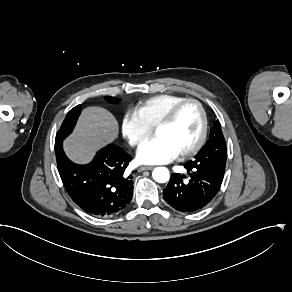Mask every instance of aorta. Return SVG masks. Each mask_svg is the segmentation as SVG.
Masks as SVG:
<instances>
[{"label": "aorta", "mask_w": 292, "mask_h": 292, "mask_svg": "<svg viewBox=\"0 0 292 292\" xmlns=\"http://www.w3.org/2000/svg\"><path fill=\"white\" fill-rule=\"evenodd\" d=\"M152 177L158 183H165L170 178L169 170L166 167H157L153 170Z\"/></svg>", "instance_id": "aorta-1"}]
</instances>
